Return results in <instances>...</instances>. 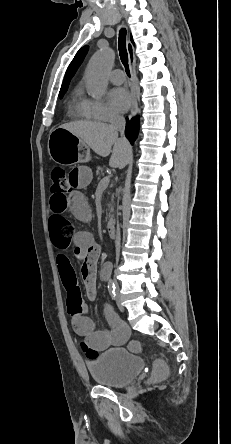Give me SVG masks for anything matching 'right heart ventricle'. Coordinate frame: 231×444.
<instances>
[{
  "label": "right heart ventricle",
  "instance_id": "e07e8e85",
  "mask_svg": "<svg viewBox=\"0 0 231 444\" xmlns=\"http://www.w3.org/2000/svg\"><path fill=\"white\" fill-rule=\"evenodd\" d=\"M69 113L73 118L83 119V120L92 119L91 116L86 111L84 106V99L81 98L79 93H76L73 96L69 106Z\"/></svg>",
  "mask_w": 231,
  "mask_h": 444
}]
</instances>
